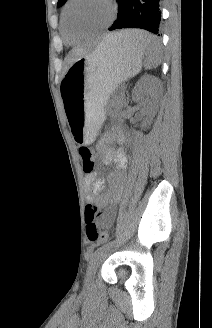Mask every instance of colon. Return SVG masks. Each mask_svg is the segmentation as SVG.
<instances>
[{"instance_id": "colon-1", "label": "colon", "mask_w": 212, "mask_h": 328, "mask_svg": "<svg viewBox=\"0 0 212 328\" xmlns=\"http://www.w3.org/2000/svg\"><path fill=\"white\" fill-rule=\"evenodd\" d=\"M79 154L83 162V170L85 173L92 172L94 169V156L90 147L82 146L79 149ZM86 234L88 239L93 243L104 242L106 239L105 233L102 231L98 218L100 210L97 205L89 204L86 206Z\"/></svg>"}]
</instances>
